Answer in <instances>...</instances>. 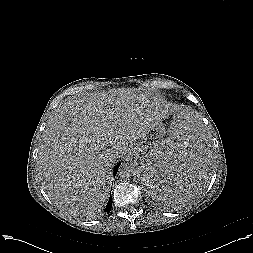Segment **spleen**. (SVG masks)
Returning <instances> with one entry per match:
<instances>
[{"label": "spleen", "mask_w": 253, "mask_h": 253, "mask_svg": "<svg viewBox=\"0 0 253 253\" xmlns=\"http://www.w3.org/2000/svg\"><path fill=\"white\" fill-rule=\"evenodd\" d=\"M214 170L204 125L192 117L176 120L140 171L143 192L161 204H181L202 192Z\"/></svg>", "instance_id": "spleen-1"}]
</instances>
